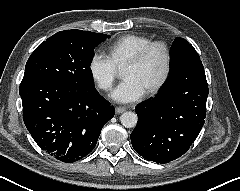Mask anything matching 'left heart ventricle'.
Segmentation results:
<instances>
[{"instance_id": "left-heart-ventricle-1", "label": "left heart ventricle", "mask_w": 240, "mask_h": 191, "mask_svg": "<svg viewBox=\"0 0 240 191\" xmlns=\"http://www.w3.org/2000/svg\"><path fill=\"white\" fill-rule=\"evenodd\" d=\"M165 66V53L161 47L153 48L138 65H127L123 68L124 78H135L147 91L161 78Z\"/></svg>"}]
</instances>
